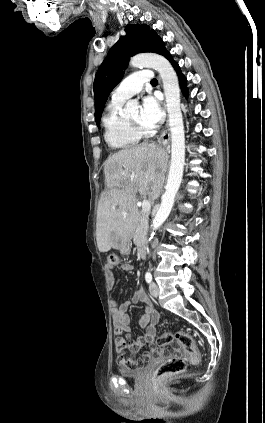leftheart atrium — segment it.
Wrapping results in <instances>:
<instances>
[{
	"mask_svg": "<svg viewBox=\"0 0 265 423\" xmlns=\"http://www.w3.org/2000/svg\"><path fill=\"white\" fill-rule=\"evenodd\" d=\"M164 112L158 99L154 96H146L142 101L141 121L145 127L154 128L163 119Z\"/></svg>",
	"mask_w": 265,
	"mask_h": 423,
	"instance_id": "left-heart-atrium-1",
	"label": "left heart atrium"
}]
</instances>
